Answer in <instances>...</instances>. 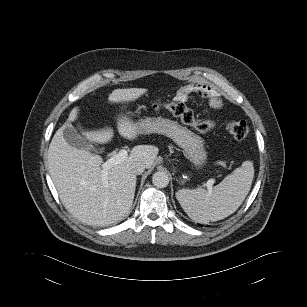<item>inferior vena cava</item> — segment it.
I'll list each match as a JSON object with an SVG mask.
<instances>
[{
	"instance_id": "inferior-vena-cava-1",
	"label": "inferior vena cava",
	"mask_w": 307,
	"mask_h": 307,
	"mask_svg": "<svg viewBox=\"0 0 307 307\" xmlns=\"http://www.w3.org/2000/svg\"><path fill=\"white\" fill-rule=\"evenodd\" d=\"M146 168V165L143 162H135L131 165V170L135 174H141Z\"/></svg>"
}]
</instances>
